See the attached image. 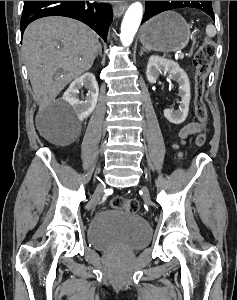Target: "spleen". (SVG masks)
I'll list each match as a JSON object with an SVG mask.
<instances>
[{"label": "spleen", "instance_id": "3e777b00", "mask_svg": "<svg viewBox=\"0 0 237 300\" xmlns=\"http://www.w3.org/2000/svg\"><path fill=\"white\" fill-rule=\"evenodd\" d=\"M206 35H208V37H215L216 29H215L214 25H207Z\"/></svg>", "mask_w": 237, "mask_h": 300}]
</instances>
